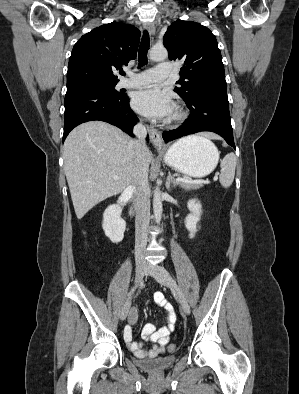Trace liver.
<instances>
[{"label":"liver","mask_w":299,"mask_h":394,"mask_svg":"<svg viewBox=\"0 0 299 394\" xmlns=\"http://www.w3.org/2000/svg\"><path fill=\"white\" fill-rule=\"evenodd\" d=\"M144 157L149 167L152 154L148 148ZM63 159L78 219L99 202L120 194L133 181V140L102 121L86 122L73 129L64 142Z\"/></svg>","instance_id":"6515ba94"}]
</instances>
